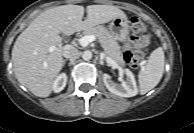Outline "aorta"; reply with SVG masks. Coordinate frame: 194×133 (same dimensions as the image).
<instances>
[{"mask_svg": "<svg viewBox=\"0 0 194 133\" xmlns=\"http://www.w3.org/2000/svg\"><path fill=\"white\" fill-rule=\"evenodd\" d=\"M82 58L85 61H89L92 58V52L89 51V50L84 51L83 54H82Z\"/></svg>", "mask_w": 194, "mask_h": 133, "instance_id": "obj_1", "label": "aorta"}]
</instances>
